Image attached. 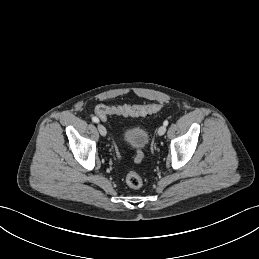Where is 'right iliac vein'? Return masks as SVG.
<instances>
[{"label":"right iliac vein","instance_id":"1","mask_svg":"<svg viewBox=\"0 0 259 259\" xmlns=\"http://www.w3.org/2000/svg\"><path fill=\"white\" fill-rule=\"evenodd\" d=\"M98 130L102 136H106L107 131H106V128L102 124H98Z\"/></svg>","mask_w":259,"mask_h":259}]
</instances>
